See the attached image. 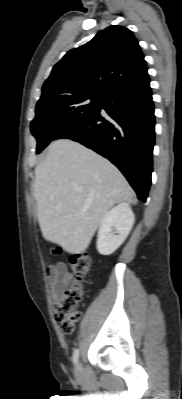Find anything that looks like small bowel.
Segmentation results:
<instances>
[{
    "label": "small bowel",
    "instance_id": "obj_1",
    "mask_svg": "<svg viewBox=\"0 0 182 399\" xmlns=\"http://www.w3.org/2000/svg\"><path fill=\"white\" fill-rule=\"evenodd\" d=\"M47 273L51 295L56 305L72 280V274L62 262L49 266Z\"/></svg>",
    "mask_w": 182,
    "mask_h": 399
}]
</instances>
